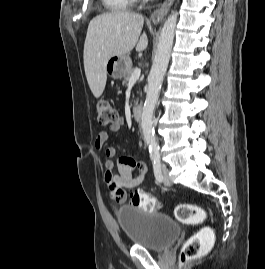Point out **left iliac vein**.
Here are the masks:
<instances>
[{"instance_id": "4c4485c4", "label": "left iliac vein", "mask_w": 265, "mask_h": 269, "mask_svg": "<svg viewBox=\"0 0 265 269\" xmlns=\"http://www.w3.org/2000/svg\"><path fill=\"white\" fill-rule=\"evenodd\" d=\"M162 174H163V177H164V180H163L164 184L166 186H171L172 181H171V179L169 177V170L166 167L162 168Z\"/></svg>"}]
</instances>
